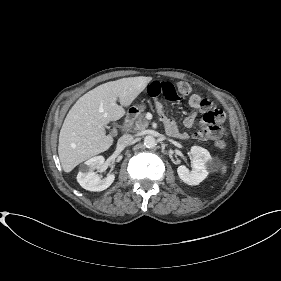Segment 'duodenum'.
<instances>
[{
  "label": "duodenum",
  "mask_w": 281,
  "mask_h": 281,
  "mask_svg": "<svg viewBox=\"0 0 281 281\" xmlns=\"http://www.w3.org/2000/svg\"><path fill=\"white\" fill-rule=\"evenodd\" d=\"M136 112L130 110L124 118V130H127L135 118Z\"/></svg>",
  "instance_id": "410a0bca"
}]
</instances>
